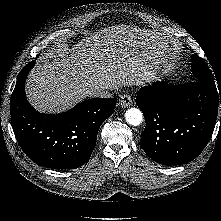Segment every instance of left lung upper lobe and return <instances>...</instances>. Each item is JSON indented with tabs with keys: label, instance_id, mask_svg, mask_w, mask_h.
I'll use <instances>...</instances> for the list:
<instances>
[{
	"label": "left lung upper lobe",
	"instance_id": "left-lung-upper-lobe-1",
	"mask_svg": "<svg viewBox=\"0 0 221 221\" xmlns=\"http://www.w3.org/2000/svg\"><path fill=\"white\" fill-rule=\"evenodd\" d=\"M192 72L196 80H202L216 87L212 72L210 71L204 60L196 54L192 56Z\"/></svg>",
	"mask_w": 221,
	"mask_h": 221
}]
</instances>
